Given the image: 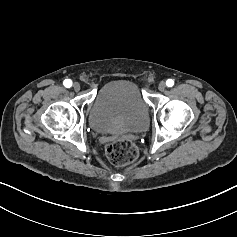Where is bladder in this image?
Segmentation results:
<instances>
[{
    "mask_svg": "<svg viewBox=\"0 0 237 237\" xmlns=\"http://www.w3.org/2000/svg\"><path fill=\"white\" fill-rule=\"evenodd\" d=\"M148 122V104L134 81L113 80L97 91L89 113V123L95 132H139Z\"/></svg>",
    "mask_w": 237,
    "mask_h": 237,
    "instance_id": "31cf9c89",
    "label": "bladder"
}]
</instances>
